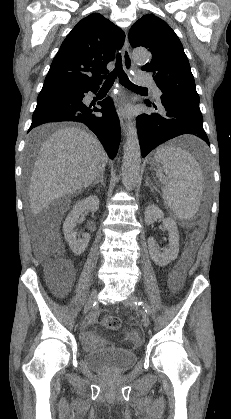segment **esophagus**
I'll return each mask as SVG.
<instances>
[{
    "mask_svg": "<svg viewBox=\"0 0 231 419\" xmlns=\"http://www.w3.org/2000/svg\"><path fill=\"white\" fill-rule=\"evenodd\" d=\"M122 57H123V65H124L125 70L126 71H131L133 69V61L131 59V53H130V48H129V42H128L127 35H126L125 41H124ZM118 115H119V120H120V125H121L122 132H123V134H126L130 118H129L128 114L122 108H119Z\"/></svg>",
    "mask_w": 231,
    "mask_h": 419,
    "instance_id": "esophagus-1",
    "label": "esophagus"
}]
</instances>
